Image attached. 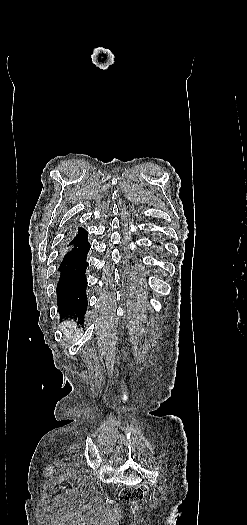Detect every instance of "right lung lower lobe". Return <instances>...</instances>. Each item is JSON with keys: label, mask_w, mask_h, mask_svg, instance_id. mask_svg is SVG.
<instances>
[{"label": "right lung lower lobe", "mask_w": 247, "mask_h": 525, "mask_svg": "<svg viewBox=\"0 0 247 525\" xmlns=\"http://www.w3.org/2000/svg\"><path fill=\"white\" fill-rule=\"evenodd\" d=\"M88 232L79 228L75 237L68 244L69 250L65 254L59 267L60 279L57 285V304L61 317H70L83 321L87 308L86 296V261L90 249Z\"/></svg>", "instance_id": "98d812e1"}]
</instances>
